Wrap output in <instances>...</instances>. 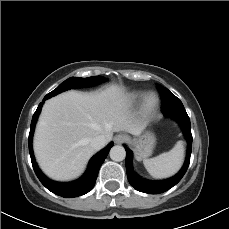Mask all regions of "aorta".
<instances>
[{"mask_svg": "<svg viewBox=\"0 0 229 229\" xmlns=\"http://www.w3.org/2000/svg\"><path fill=\"white\" fill-rule=\"evenodd\" d=\"M125 155H126L125 149L120 145H115L110 150V158L113 161H117V162L123 161L125 159Z\"/></svg>", "mask_w": 229, "mask_h": 229, "instance_id": "1", "label": "aorta"}]
</instances>
